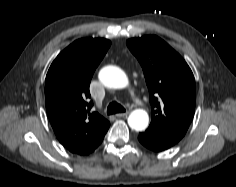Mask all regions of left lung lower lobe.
I'll return each mask as SVG.
<instances>
[{
	"label": "left lung lower lobe",
	"mask_w": 236,
	"mask_h": 187,
	"mask_svg": "<svg viewBox=\"0 0 236 187\" xmlns=\"http://www.w3.org/2000/svg\"><path fill=\"white\" fill-rule=\"evenodd\" d=\"M138 140L145 147L156 152L166 150L176 144L171 140L161 138L145 132L139 133Z\"/></svg>",
	"instance_id": "1"
}]
</instances>
